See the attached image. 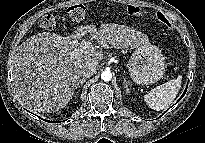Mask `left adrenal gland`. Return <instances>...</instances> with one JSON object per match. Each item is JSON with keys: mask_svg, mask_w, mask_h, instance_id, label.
I'll use <instances>...</instances> for the list:
<instances>
[{"mask_svg": "<svg viewBox=\"0 0 205 143\" xmlns=\"http://www.w3.org/2000/svg\"><path fill=\"white\" fill-rule=\"evenodd\" d=\"M124 87L126 89V93L130 92L129 86H128V81L126 80V78H124Z\"/></svg>", "mask_w": 205, "mask_h": 143, "instance_id": "left-adrenal-gland-1", "label": "left adrenal gland"}]
</instances>
